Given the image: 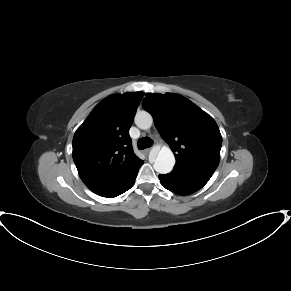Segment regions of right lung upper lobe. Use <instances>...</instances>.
<instances>
[{
	"instance_id": "obj_1",
	"label": "right lung upper lobe",
	"mask_w": 291,
	"mask_h": 291,
	"mask_svg": "<svg viewBox=\"0 0 291 291\" xmlns=\"http://www.w3.org/2000/svg\"><path fill=\"white\" fill-rule=\"evenodd\" d=\"M143 96V92H127L106 97L74 134L72 155L79 176L98 195L122 188L143 164L129 136Z\"/></svg>"
}]
</instances>
